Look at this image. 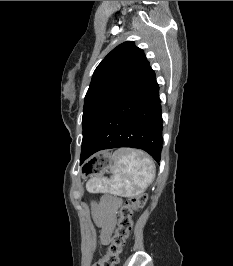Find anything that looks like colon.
<instances>
[{
    "label": "colon",
    "instance_id": "5ec220e1",
    "mask_svg": "<svg viewBox=\"0 0 233 266\" xmlns=\"http://www.w3.org/2000/svg\"><path fill=\"white\" fill-rule=\"evenodd\" d=\"M146 200L145 194L135 195L125 200L120 208L117 227L110 243L103 256L93 266H115L118 263L119 256L132 231L133 216L144 207Z\"/></svg>",
    "mask_w": 233,
    "mask_h": 266
}]
</instances>
